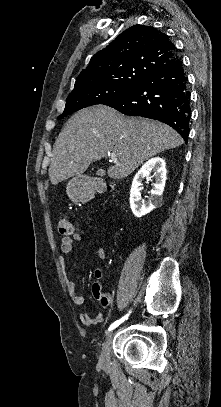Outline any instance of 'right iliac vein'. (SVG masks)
Instances as JSON below:
<instances>
[{
    "label": "right iliac vein",
    "mask_w": 221,
    "mask_h": 407,
    "mask_svg": "<svg viewBox=\"0 0 221 407\" xmlns=\"http://www.w3.org/2000/svg\"><path fill=\"white\" fill-rule=\"evenodd\" d=\"M114 331L108 333L106 341L102 347L101 355H100V364L104 365L109 362L110 357V345L112 341Z\"/></svg>",
    "instance_id": "right-iliac-vein-1"
}]
</instances>
